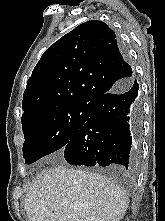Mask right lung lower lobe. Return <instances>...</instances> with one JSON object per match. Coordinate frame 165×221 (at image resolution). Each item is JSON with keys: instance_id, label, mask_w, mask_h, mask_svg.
I'll list each match as a JSON object with an SVG mask.
<instances>
[{"instance_id": "1", "label": "right lung lower lobe", "mask_w": 165, "mask_h": 221, "mask_svg": "<svg viewBox=\"0 0 165 221\" xmlns=\"http://www.w3.org/2000/svg\"><path fill=\"white\" fill-rule=\"evenodd\" d=\"M138 90L133 78L92 101L88 120L63 148L69 164L135 169L142 133Z\"/></svg>"}]
</instances>
